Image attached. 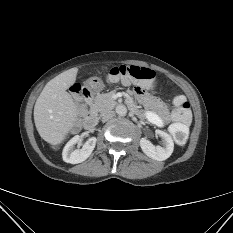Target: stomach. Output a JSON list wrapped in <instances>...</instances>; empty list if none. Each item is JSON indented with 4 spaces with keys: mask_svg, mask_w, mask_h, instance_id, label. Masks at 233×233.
<instances>
[{
    "mask_svg": "<svg viewBox=\"0 0 233 233\" xmlns=\"http://www.w3.org/2000/svg\"><path fill=\"white\" fill-rule=\"evenodd\" d=\"M87 86L93 92H99L103 89L104 85L100 78L98 77H91L87 81Z\"/></svg>",
    "mask_w": 233,
    "mask_h": 233,
    "instance_id": "stomach-1",
    "label": "stomach"
}]
</instances>
